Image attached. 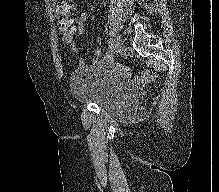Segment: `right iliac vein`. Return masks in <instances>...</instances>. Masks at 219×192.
Wrapping results in <instances>:
<instances>
[{
    "label": "right iliac vein",
    "instance_id": "right-iliac-vein-1",
    "mask_svg": "<svg viewBox=\"0 0 219 192\" xmlns=\"http://www.w3.org/2000/svg\"><path fill=\"white\" fill-rule=\"evenodd\" d=\"M122 41L119 36L114 39L113 54L118 55L122 50ZM111 59V58H110Z\"/></svg>",
    "mask_w": 219,
    "mask_h": 192
}]
</instances>
